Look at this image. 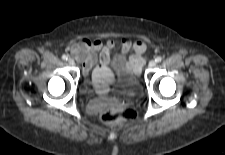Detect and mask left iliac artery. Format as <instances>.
Here are the masks:
<instances>
[{
    "mask_svg": "<svg viewBox=\"0 0 225 155\" xmlns=\"http://www.w3.org/2000/svg\"><path fill=\"white\" fill-rule=\"evenodd\" d=\"M156 62H161L162 61V57L158 56L156 59H155Z\"/></svg>",
    "mask_w": 225,
    "mask_h": 155,
    "instance_id": "44dca946",
    "label": "left iliac artery"
}]
</instances>
